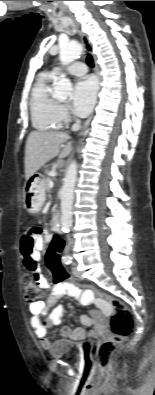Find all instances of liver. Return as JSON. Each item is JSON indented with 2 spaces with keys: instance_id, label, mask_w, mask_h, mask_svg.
<instances>
[{
  "instance_id": "obj_1",
  "label": "liver",
  "mask_w": 155,
  "mask_h": 395,
  "mask_svg": "<svg viewBox=\"0 0 155 395\" xmlns=\"http://www.w3.org/2000/svg\"><path fill=\"white\" fill-rule=\"evenodd\" d=\"M69 135L55 131H33L29 134L25 147V178H31L49 160L67 157L72 150ZM62 147V150H61Z\"/></svg>"
}]
</instances>
